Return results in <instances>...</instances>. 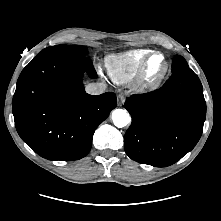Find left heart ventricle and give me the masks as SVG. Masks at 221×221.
<instances>
[{
	"mask_svg": "<svg viewBox=\"0 0 221 221\" xmlns=\"http://www.w3.org/2000/svg\"><path fill=\"white\" fill-rule=\"evenodd\" d=\"M164 66L163 58L159 55L154 56L149 64V71L151 74H156L162 70Z\"/></svg>",
	"mask_w": 221,
	"mask_h": 221,
	"instance_id": "left-heart-ventricle-1",
	"label": "left heart ventricle"
}]
</instances>
